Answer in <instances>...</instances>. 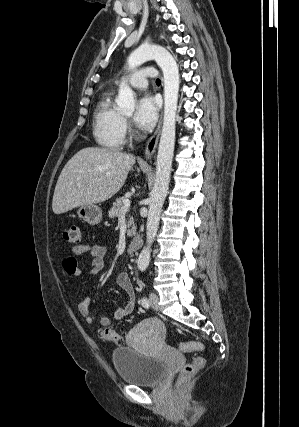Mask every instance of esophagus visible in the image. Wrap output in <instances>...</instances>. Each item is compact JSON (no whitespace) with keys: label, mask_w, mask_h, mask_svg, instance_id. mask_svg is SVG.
I'll use <instances>...</instances> for the list:
<instances>
[{"label":"esophagus","mask_w":299,"mask_h":427,"mask_svg":"<svg viewBox=\"0 0 299 427\" xmlns=\"http://www.w3.org/2000/svg\"><path fill=\"white\" fill-rule=\"evenodd\" d=\"M161 126H162V114L158 123V126L154 132V134L151 136V138L148 140L146 149H145V159L150 160L153 156L156 147L158 145L160 133H161Z\"/></svg>","instance_id":"1"}]
</instances>
